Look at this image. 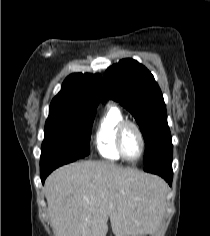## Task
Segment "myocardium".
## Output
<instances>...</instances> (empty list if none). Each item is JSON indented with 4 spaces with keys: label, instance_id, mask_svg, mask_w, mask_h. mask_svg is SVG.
Instances as JSON below:
<instances>
[{
    "label": "myocardium",
    "instance_id": "1",
    "mask_svg": "<svg viewBox=\"0 0 210 236\" xmlns=\"http://www.w3.org/2000/svg\"><path fill=\"white\" fill-rule=\"evenodd\" d=\"M127 127H133L136 130V132L139 136V139H140V152H139L138 156L133 159L126 157V155L124 154V151H123V147H122L123 134H124V131ZM116 148H117V151H118L119 155L121 156V158L127 162H136L142 157V155L145 151V137H144L142 129L140 128V126L136 122L131 121V120H123L118 125L117 131H116Z\"/></svg>",
    "mask_w": 210,
    "mask_h": 236
}]
</instances>
